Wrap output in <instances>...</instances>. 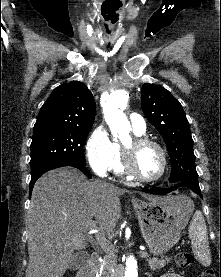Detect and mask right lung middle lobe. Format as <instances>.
I'll list each match as a JSON object with an SVG mask.
<instances>
[{"label":"right lung middle lobe","instance_id":"right-lung-middle-lobe-1","mask_svg":"<svg viewBox=\"0 0 221 277\" xmlns=\"http://www.w3.org/2000/svg\"><path fill=\"white\" fill-rule=\"evenodd\" d=\"M91 127L45 126L33 130L31 143V176L76 163L85 166L84 142Z\"/></svg>","mask_w":221,"mask_h":277}]
</instances>
